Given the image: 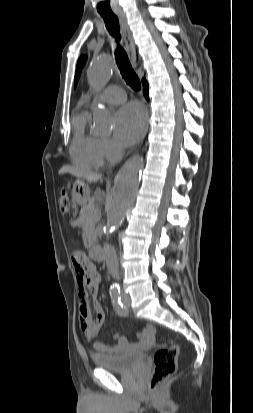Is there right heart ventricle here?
Returning a JSON list of instances; mask_svg holds the SVG:
<instances>
[{"instance_id":"e07e8e85","label":"right heart ventricle","mask_w":253,"mask_h":413,"mask_svg":"<svg viewBox=\"0 0 253 413\" xmlns=\"http://www.w3.org/2000/svg\"><path fill=\"white\" fill-rule=\"evenodd\" d=\"M88 121L89 113L87 111H82L74 117V134L70 154L78 165L99 168L105 160L100 146L101 138L88 130Z\"/></svg>"}]
</instances>
